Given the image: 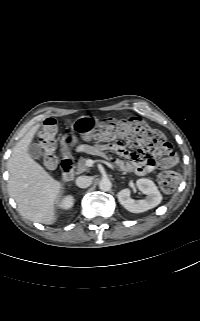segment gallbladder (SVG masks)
<instances>
[{"label": "gallbladder", "instance_id": "bac80fb5", "mask_svg": "<svg viewBox=\"0 0 200 321\" xmlns=\"http://www.w3.org/2000/svg\"><path fill=\"white\" fill-rule=\"evenodd\" d=\"M28 153L34 159H40L43 156L42 147L37 143H32L29 145Z\"/></svg>", "mask_w": 200, "mask_h": 321}]
</instances>
